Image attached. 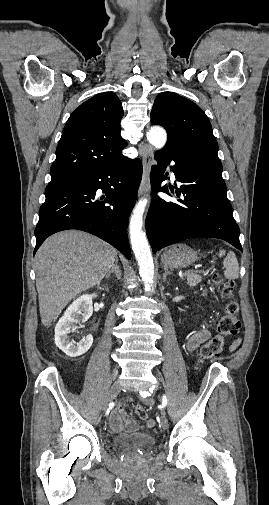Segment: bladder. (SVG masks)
Instances as JSON below:
<instances>
[{
	"instance_id": "bladder-1",
	"label": "bladder",
	"mask_w": 269,
	"mask_h": 505,
	"mask_svg": "<svg viewBox=\"0 0 269 505\" xmlns=\"http://www.w3.org/2000/svg\"><path fill=\"white\" fill-rule=\"evenodd\" d=\"M113 448L121 451H145L156 445V438L151 434L119 435L110 440Z\"/></svg>"
}]
</instances>
